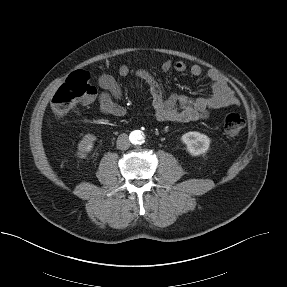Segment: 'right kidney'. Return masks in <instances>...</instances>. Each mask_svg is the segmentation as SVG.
I'll list each match as a JSON object with an SVG mask.
<instances>
[{"label":"right kidney","instance_id":"right-kidney-1","mask_svg":"<svg viewBox=\"0 0 287 287\" xmlns=\"http://www.w3.org/2000/svg\"><path fill=\"white\" fill-rule=\"evenodd\" d=\"M96 136L92 134H86L82 140L78 144V155L81 158L86 157L87 153H89L94 146V142L96 141Z\"/></svg>","mask_w":287,"mask_h":287}]
</instances>
